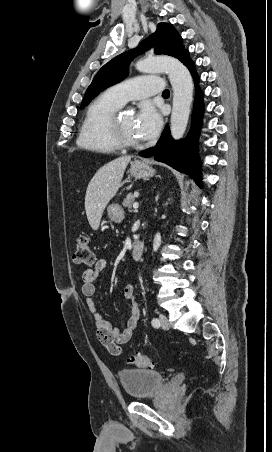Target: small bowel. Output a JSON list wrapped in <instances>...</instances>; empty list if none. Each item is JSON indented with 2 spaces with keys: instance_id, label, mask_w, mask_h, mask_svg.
Returning <instances> with one entry per match:
<instances>
[{
  "instance_id": "small-bowel-1",
  "label": "small bowel",
  "mask_w": 272,
  "mask_h": 452,
  "mask_svg": "<svg viewBox=\"0 0 272 452\" xmlns=\"http://www.w3.org/2000/svg\"><path fill=\"white\" fill-rule=\"evenodd\" d=\"M109 266L106 259H97L91 267L86 268L82 273V294L86 298L88 309L91 313L92 320L96 326V335L98 340L105 346L112 354L118 355L121 352L114 351V348L121 350V346L130 341L133 331L136 329L140 309L136 301L135 287L133 284H127L123 290V297L130 309V317L124 329H119L112 323L104 320L102 315L96 308L95 294L96 286L95 280L100 276ZM122 351V350H121Z\"/></svg>"
}]
</instances>
